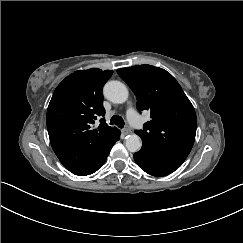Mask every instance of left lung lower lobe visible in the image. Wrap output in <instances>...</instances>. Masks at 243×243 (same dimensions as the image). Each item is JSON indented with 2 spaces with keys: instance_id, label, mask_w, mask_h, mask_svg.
I'll return each mask as SVG.
<instances>
[{
  "instance_id": "left-lung-lower-lobe-1",
  "label": "left lung lower lobe",
  "mask_w": 243,
  "mask_h": 243,
  "mask_svg": "<svg viewBox=\"0 0 243 243\" xmlns=\"http://www.w3.org/2000/svg\"><path fill=\"white\" fill-rule=\"evenodd\" d=\"M186 157L170 154L143 144L139 152L134 154L137 165L153 176H166L177 170Z\"/></svg>"
}]
</instances>
